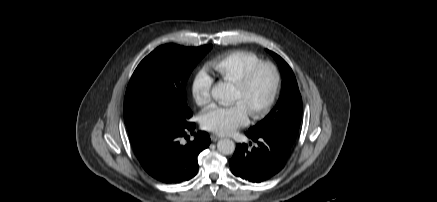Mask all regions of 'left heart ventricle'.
I'll list each match as a JSON object with an SVG mask.
<instances>
[{"label": "left heart ventricle", "mask_w": 437, "mask_h": 202, "mask_svg": "<svg viewBox=\"0 0 437 202\" xmlns=\"http://www.w3.org/2000/svg\"><path fill=\"white\" fill-rule=\"evenodd\" d=\"M273 87V74L269 68H261L246 89L234 88L233 102H242L248 113L257 110L269 97Z\"/></svg>", "instance_id": "left-heart-ventricle-1"}]
</instances>
